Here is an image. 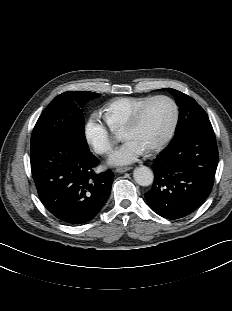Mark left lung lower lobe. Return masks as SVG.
Masks as SVG:
<instances>
[{
	"mask_svg": "<svg viewBox=\"0 0 232 311\" xmlns=\"http://www.w3.org/2000/svg\"><path fill=\"white\" fill-rule=\"evenodd\" d=\"M217 164L218 150L209 119L181 131L152 165L155 180L145 194L149 207L171 220L189 215L209 196Z\"/></svg>",
	"mask_w": 232,
	"mask_h": 311,
	"instance_id": "obj_1",
	"label": "left lung lower lobe"
}]
</instances>
